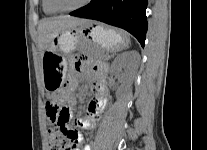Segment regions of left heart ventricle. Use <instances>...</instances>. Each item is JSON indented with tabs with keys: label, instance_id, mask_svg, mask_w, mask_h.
<instances>
[{
	"label": "left heart ventricle",
	"instance_id": "b2bd125f",
	"mask_svg": "<svg viewBox=\"0 0 207 150\" xmlns=\"http://www.w3.org/2000/svg\"><path fill=\"white\" fill-rule=\"evenodd\" d=\"M83 0H58L62 7L70 8L79 5Z\"/></svg>",
	"mask_w": 207,
	"mask_h": 150
}]
</instances>
